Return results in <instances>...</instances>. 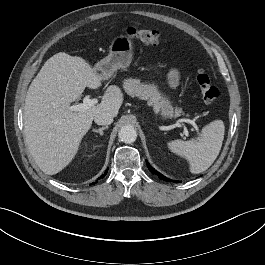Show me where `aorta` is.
<instances>
[{
	"label": "aorta",
	"mask_w": 265,
	"mask_h": 265,
	"mask_svg": "<svg viewBox=\"0 0 265 265\" xmlns=\"http://www.w3.org/2000/svg\"><path fill=\"white\" fill-rule=\"evenodd\" d=\"M119 138L124 143H132L137 138L136 129L132 125H124L119 130Z\"/></svg>",
	"instance_id": "1"
}]
</instances>
